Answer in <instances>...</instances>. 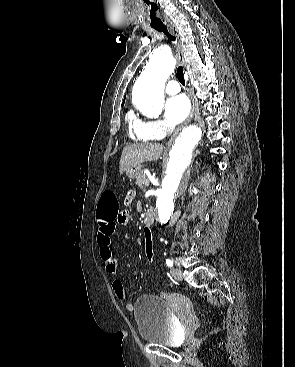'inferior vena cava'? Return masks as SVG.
Instances as JSON below:
<instances>
[{"instance_id": "602c4592", "label": "inferior vena cava", "mask_w": 295, "mask_h": 367, "mask_svg": "<svg viewBox=\"0 0 295 367\" xmlns=\"http://www.w3.org/2000/svg\"><path fill=\"white\" fill-rule=\"evenodd\" d=\"M173 130H174L173 128H170V129L168 130V132H169V133H172V132H173Z\"/></svg>"}]
</instances>
